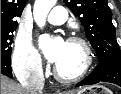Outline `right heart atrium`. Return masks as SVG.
I'll return each instance as SVG.
<instances>
[{"mask_svg":"<svg viewBox=\"0 0 121 94\" xmlns=\"http://www.w3.org/2000/svg\"><path fill=\"white\" fill-rule=\"evenodd\" d=\"M12 68L19 78H39L42 75V60L29 37L17 39L12 56Z\"/></svg>","mask_w":121,"mask_h":94,"instance_id":"d8ad5b80","label":"right heart atrium"}]
</instances>
